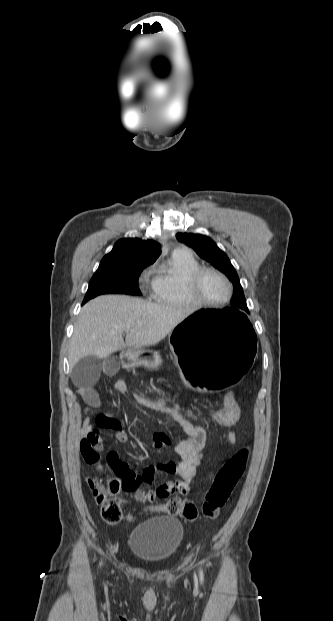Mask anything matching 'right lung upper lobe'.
Here are the masks:
<instances>
[{
	"label": "right lung upper lobe",
	"mask_w": 333,
	"mask_h": 621,
	"mask_svg": "<svg viewBox=\"0 0 333 621\" xmlns=\"http://www.w3.org/2000/svg\"><path fill=\"white\" fill-rule=\"evenodd\" d=\"M161 253L159 243L153 240L124 238L116 242L112 251L105 255L101 263L131 262L152 264Z\"/></svg>",
	"instance_id": "right-lung-upper-lobe-1"
}]
</instances>
